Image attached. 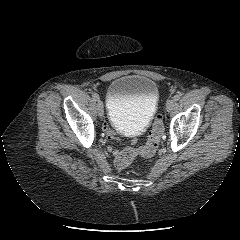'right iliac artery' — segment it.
Wrapping results in <instances>:
<instances>
[{"label": "right iliac artery", "mask_w": 240, "mask_h": 240, "mask_svg": "<svg viewBox=\"0 0 240 240\" xmlns=\"http://www.w3.org/2000/svg\"><path fill=\"white\" fill-rule=\"evenodd\" d=\"M93 98L95 99V100H99V95L97 94V93H93Z\"/></svg>", "instance_id": "82829eb1"}]
</instances>
